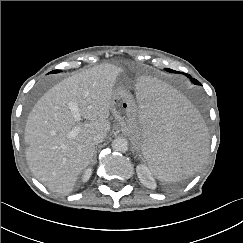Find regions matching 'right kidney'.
Returning <instances> with one entry per match:
<instances>
[{"mask_svg":"<svg viewBox=\"0 0 243 243\" xmlns=\"http://www.w3.org/2000/svg\"><path fill=\"white\" fill-rule=\"evenodd\" d=\"M91 175H92V169L91 168L86 169L82 175V181L87 182L91 177Z\"/></svg>","mask_w":243,"mask_h":243,"instance_id":"1","label":"right kidney"}]
</instances>
